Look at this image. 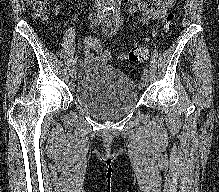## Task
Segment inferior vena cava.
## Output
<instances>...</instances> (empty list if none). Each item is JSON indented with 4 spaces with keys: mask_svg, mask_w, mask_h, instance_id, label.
I'll return each instance as SVG.
<instances>
[{
    "mask_svg": "<svg viewBox=\"0 0 219 192\" xmlns=\"http://www.w3.org/2000/svg\"><path fill=\"white\" fill-rule=\"evenodd\" d=\"M98 3H101L102 6H106L107 0H95Z\"/></svg>",
    "mask_w": 219,
    "mask_h": 192,
    "instance_id": "602c4592",
    "label": "inferior vena cava"
}]
</instances>
